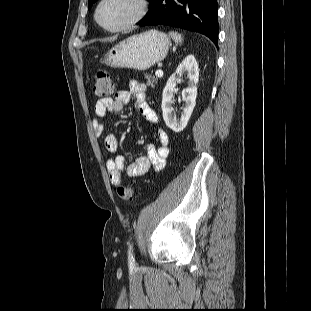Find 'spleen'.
Segmentation results:
<instances>
[{
	"label": "spleen",
	"mask_w": 311,
	"mask_h": 311,
	"mask_svg": "<svg viewBox=\"0 0 311 311\" xmlns=\"http://www.w3.org/2000/svg\"><path fill=\"white\" fill-rule=\"evenodd\" d=\"M169 36L173 39L175 43H182V35L177 32H169Z\"/></svg>",
	"instance_id": "obj_1"
}]
</instances>
